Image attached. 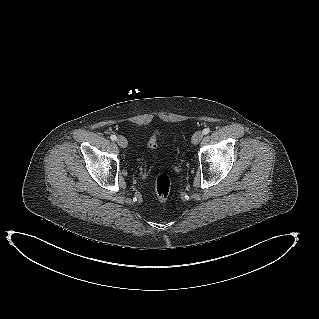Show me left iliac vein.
<instances>
[{"mask_svg":"<svg viewBox=\"0 0 319 319\" xmlns=\"http://www.w3.org/2000/svg\"><path fill=\"white\" fill-rule=\"evenodd\" d=\"M202 138H203V133L200 132V131H197L192 136V143L193 144H198L201 141Z\"/></svg>","mask_w":319,"mask_h":319,"instance_id":"1","label":"left iliac vein"}]
</instances>
